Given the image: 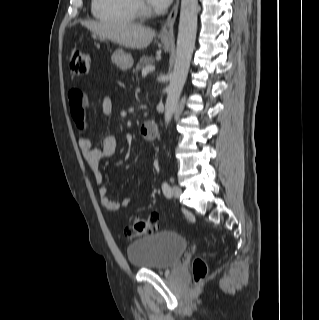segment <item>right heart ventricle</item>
<instances>
[{
    "instance_id": "e07e8e85",
    "label": "right heart ventricle",
    "mask_w": 319,
    "mask_h": 320,
    "mask_svg": "<svg viewBox=\"0 0 319 320\" xmlns=\"http://www.w3.org/2000/svg\"><path fill=\"white\" fill-rule=\"evenodd\" d=\"M92 15L101 21L130 24L136 20L132 0H92Z\"/></svg>"
}]
</instances>
